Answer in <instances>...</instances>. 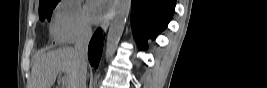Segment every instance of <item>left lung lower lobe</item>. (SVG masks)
<instances>
[{
	"label": "left lung lower lobe",
	"mask_w": 267,
	"mask_h": 88,
	"mask_svg": "<svg viewBox=\"0 0 267 88\" xmlns=\"http://www.w3.org/2000/svg\"><path fill=\"white\" fill-rule=\"evenodd\" d=\"M175 8V0H132L131 23L140 48L148 38L155 39L167 27Z\"/></svg>",
	"instance_id": "0a47b994"
}]
</instances>
